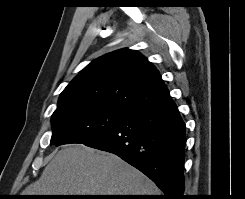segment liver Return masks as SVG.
<instances>
[{
    "mask_svg": "<svg viewBox=\"0 0 245 199\" xmlns=\"http://www.w3.org/2000/svg\"><path fill=\"white\" fill-rule=\"evenodd\" d=\"M157 186L118 156L82 144L62 148L22 195H158Z\"/></svg>",
    "mask_w": 245,
    "mask_h": 199,
    "instance_id": "1",
    "label": "liver"
}]
</instances>
